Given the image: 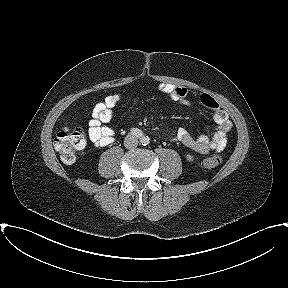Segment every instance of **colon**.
<instances>
[{"instance_id":"1","label":"colon","mask_w":288,"mask_h":288,"mask_svg":"<svg viewBox=\"0 0 288 288\" xmlns=\"http://www.w3.org/2000/svg\"><path fill=\"white\" fill-rule=\"evenodd\" d=\"M86 134L80 127H64L55 136L54 146L60 154L61 159L65 163H73L78 153L86 146ZM222 162V157L214 154L203 160L204 168L213 169L219 166Z\"/></svg>"}]
</instances>
